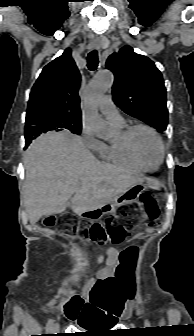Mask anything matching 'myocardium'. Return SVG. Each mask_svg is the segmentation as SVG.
<instances>
[{
  "instance_id": "f54148a6",
  "label": "myocardium",
  "mask_w": 194,
  "mask_h": 336,
  "mask_svg": "<svg viewBox=\"0 0 194 336\" xmlns=\"http://www.w3.org/2000/svg\"><path fill=\"white\" fill-rule=\"evenodd\" d=\"M139 129H143L146 131H149L150 133L153 134V136L155 137V139L157 140L159 147H160V160L158 161V163L156 165H148L147 163H145L137 154L134 144H133V134L135 131L139 130ZM121 141L123 143V145L125 146L126 150L128 151V153L132 156V158L139 163L140 165L146 167L149 170H154L157 167H159L161 165V163L164 160V156H165V146L163 143V140L160 136V134L157 132L156 129H154L153 127H151L150 125L147 124H143V123H137V124H133L130 126H127L123 129L122 133H121Z\"/></svg>"
}]
</instances>
